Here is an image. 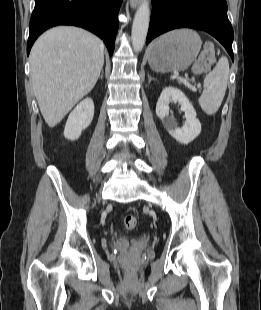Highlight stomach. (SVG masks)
<instances>
[{"label": "stomach", "instance_id": "1", "mask_svg": "<svg viewBox=\"0 0 261 310\" xmlns=\"http://www.w3.org/2000/svg\"><path fill=\"white\" fill-rule=\"evenodd\" d=\"M199 35L190 29L168 32L148 49V62L156 72L184 71L196 59L200 48Z\"/></svg>", "mask_w": 261, "mask_h": 310}]
</instances>
